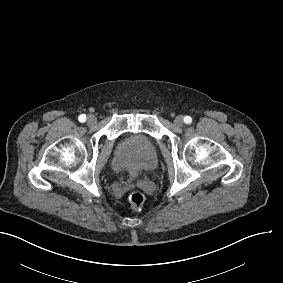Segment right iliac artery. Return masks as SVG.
I'll return each instance as SVG.
<instances>
[{"label": "right iliac artery", "mask_w": 283, "mask_h": 283, "mask_svg": "<svg viewBox=\"0 0 283 283\" xmlns=\"http://www.w3.org/2000/svg\"><path fill=\"white\" fill-rule=\"evenodd\" d=\"M78 120H79L80 122H85V121H86V115H85V114H81V115L79 116Z\"/></svg>", "instance_id": "right-iliac-artery-1"}]
</instances>
